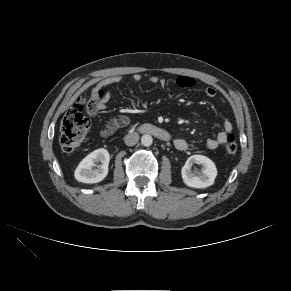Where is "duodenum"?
Instances as JSON below:
<instances>
[{
  "instance_id": "1",
  "label": "duodenum",
  "mask_w": 291,
  "mask_h": 291,
  "mask_svg": "<svg viewBox=\"0 0 291 291\" xmlns=\"http://www.w3.org/2000/svg\"><path fill=\"white\" fill-rule=\"evenodd\" d=\"M140 131L146 134H151L162 141H169L170 139V135L166 130L152 124L142 125Z\"/></svg>"
}]
</instances>
